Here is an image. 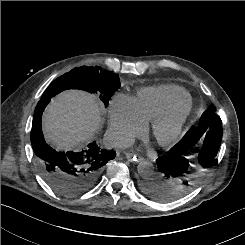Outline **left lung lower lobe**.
Masks as SVG:
<instances>
[{
  "mask_svg": "<svg viewBox=\"0 0 245 245\" xmlns=\"http://www.w3.org/2000/svg\"><path fill=\"white\" fill-rule=\"evenodd\" d=\"M221 141L222 121L214 111L206 110L198 126L191 128L164 156L157 159V175L164 183L149 182L144 185V190L156 199L166 200L192 187L196 182V173L217 160ZM194 153L197 157L191 161L189 156Z\"/></svg>",
  "mask_w": 245,
  "mask_h": 245,
  "instance_id": "left-lung-lower-lobe-1",
  "label": "left lung lower lobe"
}]
</instances>
